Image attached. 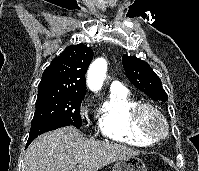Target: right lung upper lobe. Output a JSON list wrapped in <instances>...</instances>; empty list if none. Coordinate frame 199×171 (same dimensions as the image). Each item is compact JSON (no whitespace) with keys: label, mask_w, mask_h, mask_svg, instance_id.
I'll list each match as a JSON object with an SVG mask.
<instances>
[{"label":"right lung upper lobe","mask_w":199,"mask_h":171,"mask_svg":"<svg viewBox=\"0 0 199 171\" xmlns=\"http://www.w3.org/2000/svg\"><path fill=\"white\" fill-rule=\"evenodd\" d=\"M92 59V49L84 44L66 47L45 69L38 88L56 89L85 96V74Z\"/></svg>","instance_id":"right-lung-upper-lobe-1"}]
</instances>
